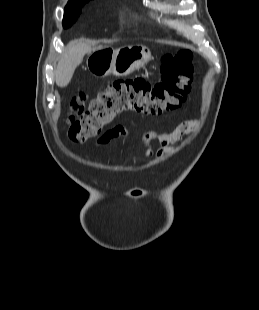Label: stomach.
Masks as SVG:
<instances>
[{
    "mask_svg": "<svg viewBox=\"0 0 259 310\" xmlns=\"http://www.w3.org/2000/svg\"><path fill=\"white\" fill-rule=\"evenodd\" d=\"M151 52L143 45L124 46L114 49L98 47L89 53L87 68L96 76H127L151 60Z\"/></svg>",
    "mask_w": 259,
    "mask_h": 310,
    "instance_id": "0dacf381",
    "label": "stomach"
}]
</instances>
